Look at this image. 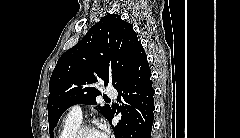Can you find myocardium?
Segmentation results:
<instances>
[{"label":"myocardium","mask_w":240,"mask_h":138,"mask_svg":"<svg viewBox=\"0 0 240 138\" xmlns=\"http://www.w3.org/2000/svg\"><path fill=\"white\" fill-rule=\"evenodd\" d=\"M95 129L92 125L90 124H80L70 135L69 138H81L82 134L88 130H93Z\"/></svg>","instance_id":"1"}]
</instances>
